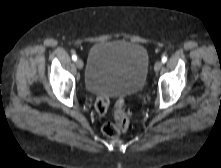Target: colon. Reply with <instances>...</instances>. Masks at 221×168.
I'll list each match as a JSON object with an SVG mask.
<instances>
[{"mask_svg": "<svg viewBox=\"0 0 221 168\" xmlns=\"http://www.w3.org/2000/svg\"><path fill=\"white\" fill-rule=\"evenodd\" d=\"M108 105L109 99L105 96L98 97L95 101V108L99 114H104ZM113 118L114 122H108L102 128L103 133L108 137H116L128 127L131 113L126 108L124 100L119 99L116 102Z\"/></svg>", "mask_w": 221, "mask_h": 168, "instance_id": "5ec220e1", "label": "colon"}]
</instances>
